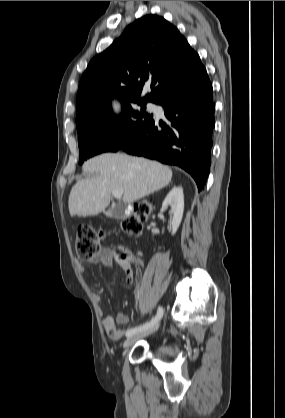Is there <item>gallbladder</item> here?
<instances>
[{
  "instance_id": "obj_1",
  "label": "gallbladder",
  "mask_w": 285,
  "mask_h": 418,
  "mask_svg": "<svg viewBox=\"0 0 285 418\" xmlns=\"http://www.w3.org/2000/svg\"><path fill=\"white\" fill-rule=\"evenodd\" d=\"M124 209H125V205L124 204H117V205H114V206L110 207L105 212V214H106V216L108 218L120 219L124 215Z\"/></svg>"
}]
</instances>
